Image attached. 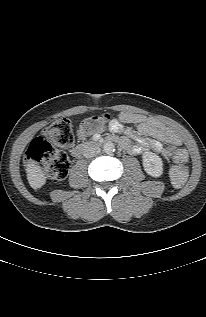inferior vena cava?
I'll return each mask as SVG.
<instances>
[{
  "label": "inferior vena cava",
  "instance_id": "602c4592",
  "mask_svg": "<svg viewBox=\"0 0 206 317\" xmlns=\"http://www.w3.org/2000/svg\"><path fill=\"white\" fill-rule=\"evenodd\" d=\"M100 153V148L95 145H86L83 149V156L85 158H91Z\"/></svg>",
  "mask_w": 206,
  "mask_h": 317
}]
</instances>
